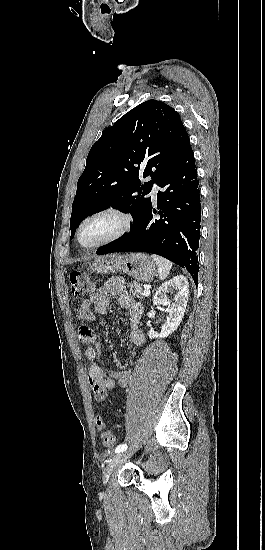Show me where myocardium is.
Listing matches in <instances>:
<instances>
[{
	"instance_id": "obj_1",
	"label": "myocardium",
	"mask_w": 265,
	"mask_h": 550,
	"mask_svg": "<svg viewBox=\"0 0 265 550\" xmlns=\"http://www.w3.org/2000/svg\"><path fill=\"white\" fill-rule=\"evenodd\" d=\"M100 216H111L115 218L117 220V228L111 235H109L107 238L97 243H94L88 246L82 245L80 242V233L83 227L91 220ZM132 225H133V218L130 214L114 207L102 208L90 213L80 222V224L78 225L75 231V241L80 248L84 250H93V249L106 246L118 241L130 231V229L132 228Z\"/></svg>"
}]
</instances>
